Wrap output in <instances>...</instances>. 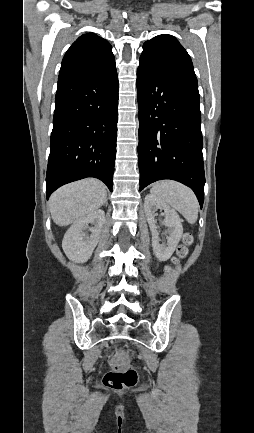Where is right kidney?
I'll use <instances>...</instances> for the list:
<instances>
[{
	"label": "right kidney",
	"instance_id": "1",
	"mask_svg": "<svg viewBox=\"0 0 254 433\" xmlns=\"http://www.w3.org/2000/svg\"><path fill=\"white\" fill-rule=\"evenodd\" d=\"M104 221L105 212L99 209L73 223L62 241L63 250L70 260L84 263L91 257L99 241ZM89 224L94 225L89 228L90 237L85 232Z\"/></svg>",
	"mask_w": 254,
	"mask_h": 433
}]
</instances>
